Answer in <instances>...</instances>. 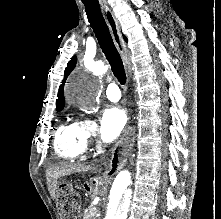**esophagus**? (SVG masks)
<instances>
[{
  "label": "esophagus",
  "instance_id": "obj_1",
  "mask_svg": "<svg viewBox=\"0 0 221 219\" xmlns=\"http://www.w3.org/2000/svg\"><path fill=\"white\" fill-rule=\"evenodd\" d=\"M102 9L104 11V15H105L107 24L109 26L113 41L123 59L124 65L127 67L128 66L127 48L121 36L117 20L114 17L112 10L107 3L102 4Z\"/></svg>",
  "mask_w": 221,
  "mask_h": 219
}]
</instances>
